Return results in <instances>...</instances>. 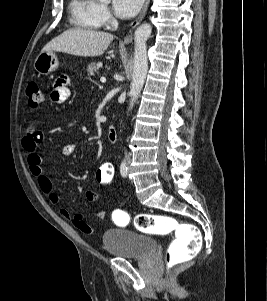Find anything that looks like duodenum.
<instances>
[{
    "instance_id": "1",
    "label": "duodenum",
    "mask_w": 267,
    "mask_h": 301,
    "mask_svg": "<svg viewBox=\"0 0 267 301\" xmlns=\"http://www.w3.org/2000/svg\"><path fill=\"white\" fill-rule=\"evenodd\" d=\"M107 139L109 142L113 143L117 140V130L114 127H110L107 131Z\"/></svg>"
}]
</instances>
